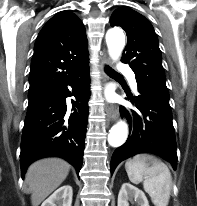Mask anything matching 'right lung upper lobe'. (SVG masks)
<instances>
[{
	"instance_id": "cb5924a9",
	"label": "right lung upper lobe",
	"mask_w": 197,
	"mask_h": 206,
	"mask_svg": "<svg viewBox=\"0 0 197 206\" xmlns=\"http://www.w3.org/2000/svg\"><path fill=\"white\" fill-rule=\"evenodd\" d=\"M83 23L70 11L53 16L40 31L31 61L29 91H53L89 63Z\"/></svg>"
}]
</instances>
